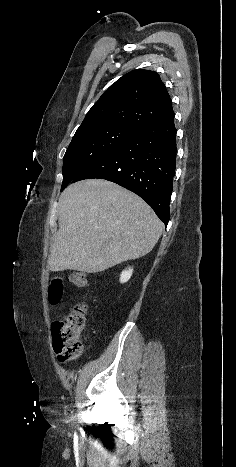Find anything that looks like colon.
Here are the masks:
<instances>
[{"instance_id": "colon-1", "label": "colon", "mask_w": 236, "mask_h": 467, "mask_svg": "<svg viewBox=\"0 0 236 467\" xmlns=\"http://www.w3.org/2000/svg\"><path fill=\"white\" fill-rule=\"evenodd\" d=\"M70 282L78 288H86L88 279L85 272L74 271ZM64 295V280L54 277L48 287V301L52 306H58ZM87 308L77 304L71 308L65 320L55 321L52 327L53 349L60 363H68L76 359L82 350L81 333L86 324Z\"/></svg>"}]
</instances>
